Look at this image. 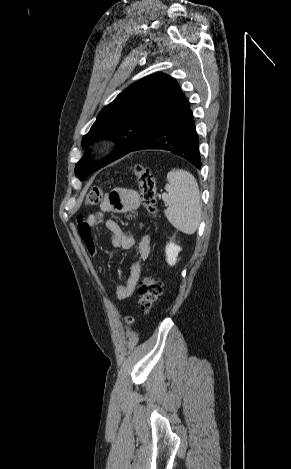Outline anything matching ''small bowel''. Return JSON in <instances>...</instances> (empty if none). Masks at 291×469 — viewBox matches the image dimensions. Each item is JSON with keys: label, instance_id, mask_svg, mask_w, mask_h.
I'll return each instance as SVG.
<instances>
[{"label": "small bowel", "instance_id": "small-bowel-1", "mask_svg": "<svg viewBox=\"0 0 291 469\" xmlns=\"http://www.w3.org/2000/svg\"><path fill=\"white\" fill-rule=\"evenodd\" d=\"M138 193L129 188H118L110 192L102 201L100 210L93 212L85 220L79 222L80 237L91 257L96 255V245L93 230L97 226H104L111 233V242L115 248L128 250L135 244L133 233L124 231L113 219L104 217V213L131 214L139 209ZM85 231V232H84ZM150 254V239L143 235L138 241L137 259L133 263L129 279L120 284L115 291L119 300L129 298L136 287L140 273V264L146 261Z\"/></svg>", "mask_w": 291, "mask_h": 469}]
</instances>
